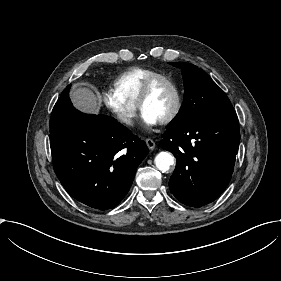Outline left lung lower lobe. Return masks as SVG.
<instances>
[{"instance_id": "1", "label": "left lung lower lobe", "mask_w": 281, "mask_h": 281, "mask_svg": "<svg viewBox=\"0 0 281 281\" xmlns=\"http://www.w3.org/2000/svg\"><path fill=\"white\" fill-rule=\"evenodd\" d=\"M239 141L234 110L167 128L160 146L176 157L169 181L173 195L193 207L217 199L231 179Z\"/></svg>"}]
</instances>
